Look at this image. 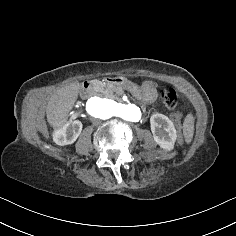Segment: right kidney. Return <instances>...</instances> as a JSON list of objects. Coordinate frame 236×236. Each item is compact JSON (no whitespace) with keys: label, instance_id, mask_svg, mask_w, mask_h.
<instances>
[{"label":"right kidney","instance_id":"obj_1","mask_svg":"<svg viewBox=\"0 0 236 236\" xmlns=\"http://www.w3.org/2000/svg\"><path fill=\"white\" fill-rule=\"evenodd\" d=\"M82 131V123L74 120L53 131V141L60 146L73 144Z\"/></svg>","mask_w":236,"mask_h":236}]
</instances>
